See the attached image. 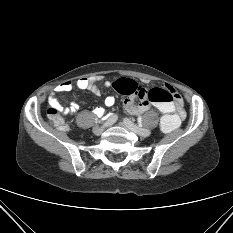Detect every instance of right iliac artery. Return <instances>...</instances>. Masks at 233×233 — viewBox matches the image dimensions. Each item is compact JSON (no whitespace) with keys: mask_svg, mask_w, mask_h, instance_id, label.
<instances>
[{"mask_svg":"<svg viewBox=\"0 0 233 233\" xmlns=\"http://www.w3.org/2000/svg\"><path fill=\"white\" fill-rule=\"evenodd\" d=\"M116 120H117V115L112 114L111 117L109 119H107L105 124H101V127H104V125L105 126L110 125V124L114 123Z\"/></svg>","mask_w":233,"mask_h":233,"instance_id":"82829eb1","label":"right iliac artery"}]
</instances>
